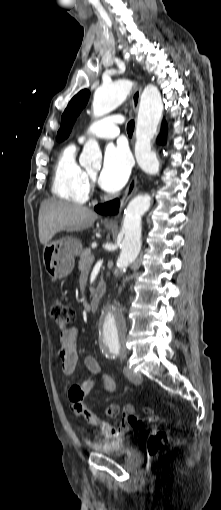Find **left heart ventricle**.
Returning <instances> with one entry per match:
<instances>
[{"label":"left heart ventricle","mask_w":221,"mask_h":510,"mask_svg":"<svg viewBox=\"0 0 221 510\" xmlns=\"http://www.w3.org/2000/svg\"><path fill=\"white\" fill-rule=\"evenodd\" d=\"M89 173H90V175L95 177V175L97 174V171H90Z\"/></svg>","instance_id":"b2bd125f"}]
</instances>
